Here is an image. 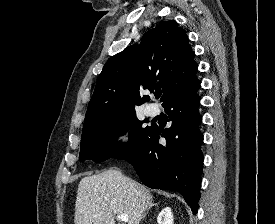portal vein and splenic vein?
Wrapping results in <instances>:
<instances>
[{"mask_svg": "<svg viewBox=\"0 0 275 224\" xmlns=\"http://www.w3.org/2000/svg\"><path fill=\"white\" fill-rule=\"evenodd\" d=\"M118 218L123 222L127 223L128 222V216L126 214L119 215Z\"/></svg>", "mask_w": 275, "mask_h": 224, "instance_id": "18ae733b", "label": "portal vein and splenic vein"}]
</instances>
